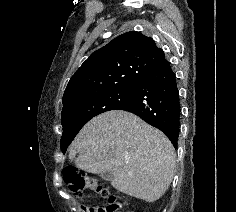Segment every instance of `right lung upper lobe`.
<instances>
[{
	"instance_id": "obj_1",
	"label": "right lung upper lobe",
	"mask_w": 236,
	"mask_h": 212,
	"mask_svg": "<svg viewBox=\"0 0 236 212\" xmlns=\"http://www.w3.org/2000/svg\"><path fill=\"white\" fill-rule=\"evenodd\" d=\"M165 57L155 42L140 32L124 33L95 51L70 79L63 106L86 96L136 86Z\"/></svg>"
}]
</instances>
